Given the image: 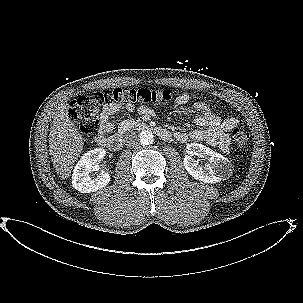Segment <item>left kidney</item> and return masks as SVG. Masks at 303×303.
Listing matches in <instances>:
<instances>
[{
    "label": "left kidney",
    "mask_w": 303,
    "mask_h": 303,
    "mask_svg": "<svg viewBox=\"0 0 303 303\" xmlns=\"http://www.w3.org/2000/svg\"><path fill=\"white\" fill-rule=\"evenodd\" d=\"M186 149L187 155L184 157V166L187 172L196 180L205 183H216L231 175V164L220 153L198 143H190ZM193 155L205 158L209 161V164H205V166L198 165L192 158Z\"/></svg>",
    "instance_id": "left-kidney-1"
}]
</instances>
